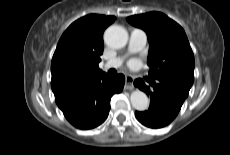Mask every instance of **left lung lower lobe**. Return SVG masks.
Segmentation results:
<instances>
[{"label":"left lung lower lobe","instance_id":"obj_1","mask_svg":"<svg viewBox=\"0 0 230 155\" xmlns=\"http://www.w3.org/2000/svg\"><path fill=\"white\" fill-rule=\"evenodd\" d=\"M134 85L150 96L151 103L147 111L135 112L137 120L150 128H162L170 124L179 113L188 92L175 85L152 80L153 88L145 85L142 79H136Z\"/></svg>","mask_w":230,"mask_h":155}]
</instances>
